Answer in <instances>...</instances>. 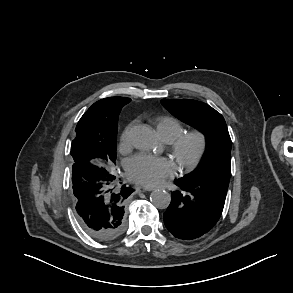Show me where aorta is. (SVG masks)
<instances>
[{"label": "aorta", "mask_w": 293, "mask_h": 293, "mask_svg": "<svg viewBox=\"0 0 293 293\" xmlns=\"http://www.w3.org/2000/svg\"><path fill=\"white\" fill-rule=\"evenodd\" d=\"M131 142L137 149L149 151L155 144L154 133L147 126H136L132 130ZM150 201L155 207L166 209L171 202V197L165 190H155L150 195Z\"/></svg>", "instance_id": "obj_1"}]
</instances>
